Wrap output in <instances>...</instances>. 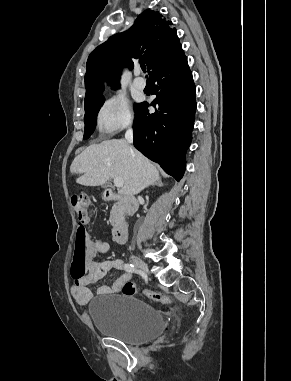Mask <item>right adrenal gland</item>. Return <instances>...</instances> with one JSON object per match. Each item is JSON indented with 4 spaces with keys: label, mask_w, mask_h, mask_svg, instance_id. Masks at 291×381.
Returning <instances> with one entry per match:
<instances>
[{
    "label": "right adrenal gland",
    "mask_w": 291,
    "mask_h": 381,
    "mask_svg": "<svg viewBox=\"0 0 291 381\" xmlns=\"http://www.w3.org/2000/svg\"><path fill=\"white\" fill-rule=\"evenodd\" d=\"M156 185H158V186H162L163 184H162L161 181H158V182H156Z\"/></svg>",
    "instance_id": "2a0ac1e0"
}]
</instances>
